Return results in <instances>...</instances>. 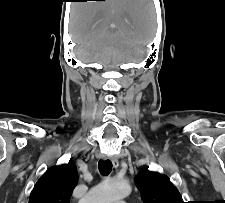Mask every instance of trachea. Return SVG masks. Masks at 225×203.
I'll return each instance as SVG.
<instances>
[{
    "instance_id": "obj_1",
    "label": "trachea",
    "mask_w": 225,
    "mask_h": 203,
    "mask_svg": "<svg viewBox=\"0 0 225 203\" xmlns=\"http://www.w3.org/2000/svg\"><path fill=\"white\" fill-rule=\"evenodd\" d=\"M98 168L101 174L108 175L112 170V162L110 160H100L98 162Z\"/></svg>"
}]
</instances>
